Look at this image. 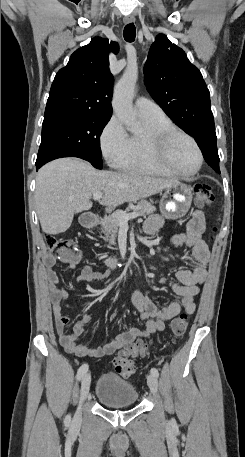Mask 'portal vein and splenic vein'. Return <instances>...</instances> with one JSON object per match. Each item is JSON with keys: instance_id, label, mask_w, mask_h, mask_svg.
Returning <instances> with one entry per match:
<instances>
[{"instance_id": "18ae733b", "label": "portal vein and splenic vein", "mask_w": 245, "mask_h": 457, "mask_svg": "<svg viewBox=\"0 0 245 457\" xmlns=\"http://www.w3.org/2000/svg\"><path fill=\"white\" fill-rule=\"evenodd\" d=\"M102 194L103 192H93L94 200H100V198H102ZM115 216H118L120 222L127 224L129 218H136V216H138V212H131V214H125V212H117Z\"/></svg>"}]
</instances>
